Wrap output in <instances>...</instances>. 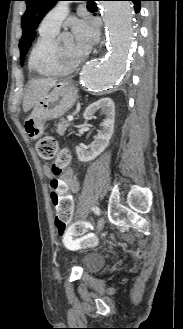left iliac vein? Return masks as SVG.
I'll return each mask as SVG.
<instances>
[{
    "instance_id": "4c4485c4",
    "label": "left iliac vein",
    "mask_w": 183,
    "mask_h": 329,
    "mask_svg": "<svg viewBox=\"0 0 183 329\" xmlns=\"http://www.w3.org/2000/svg\"><path fill=\"white\" fill-rule=\"evenodd\" d=\"M104 224H105L104 218L100 217L99 220H98V225H97V231L98 232L102 231V229L104 227Z\"/></svg>"
}]
</instances>
